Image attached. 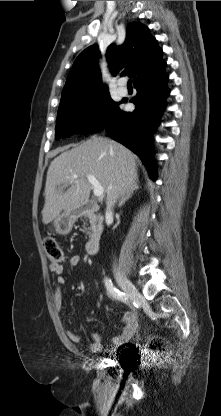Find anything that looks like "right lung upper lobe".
Wrapping results in <instances>:
<instances>
[{"mask_svg":"<svg viewBox=\"0 0 221 416\" xmlns=\"http://www.w3.org/2000/svg\"><path fill=\"white\" fill-rule=\"evenodd\" d=\"M100 56L97 45L88 47L78 55L63 89L61 103L108 92L102 83L98 66ZM106 58L114 76L126 67L123 73L133 77L134 83L166 66L156 39L139 22L128 25L125 42L121 46L110 45Z\"/></svg>","mask_w":221,"mask_h":416,"instance_id":"obj_1","label":"right lung upper lobe"}]
</instances>
